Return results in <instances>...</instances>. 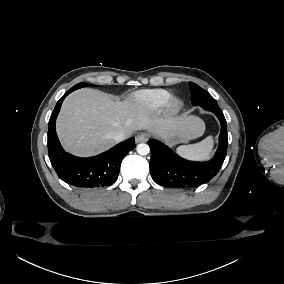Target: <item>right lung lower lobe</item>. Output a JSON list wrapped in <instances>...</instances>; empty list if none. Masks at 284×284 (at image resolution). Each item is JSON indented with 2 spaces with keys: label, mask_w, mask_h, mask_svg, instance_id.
Returning <instances> with one entry per match:
<instances>
[{
  "label": "right lung lower lobe",
  "mask_w": 284,
  "mask_h": 284,
  "mask_svg": "<svg viewBox=\"0 0 284 284\" xmlns=\"http://www.w3.org/2000/svg\"><path fill=\"white\" fill-rule=\"evenodd\" d=\"M68 90L57 102L48 124V155L58 177L64 182L92 189L113 184L119 175L120 165L125 155L135 147L134 138H130L108 151L89 158H79L66 153L58 140L55 123L64 98L73 92Z\"/></svg>",
  "instance_id": "obj_1"
}]
</instances>
